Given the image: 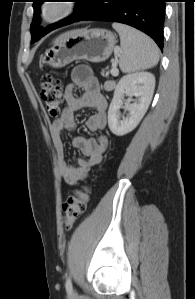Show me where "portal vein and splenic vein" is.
Returning <instances> with one entry per match:
<instances>
[{"label": "portal vein and splenic vein", "instance_id": "obj_1", "mask_svg": "<svg viewBox=\"0 0 195 299\" xmlns=\"http://www.w3.org/2000/svg\"><path fill=\"white\" fill-rule=\"evenodd\" d=\"M118 73H119V71H118V69H117V67H116V63H115V64L113 65L112 69H111V74H112L113 76H117Z\"/></svg>", "mask_w": 195, "mask_h": 299}]
</instances>
